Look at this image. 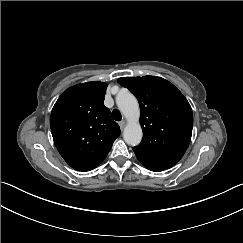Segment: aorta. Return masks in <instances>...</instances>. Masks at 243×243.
<instances>
[{"mask_svg": "<svg viewBox=\"0 0 243 243\" xmlns=\"http://www.w3.org/2000/svg\"><path fill=\"white\" fill-rule=\"evenodd\" d=\"M116 101L126 122L123 138L131 146L138 145L143 136L139 103L133 94L121 91L117 95Z\"/></svg>", "mask_w": 243, "mask_h": 243, "instance_id": "aorta-1", "label": "aorta"}]
</instances>
